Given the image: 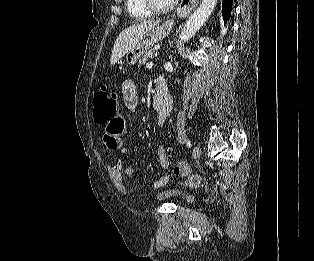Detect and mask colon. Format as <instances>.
Returning <instances> with one entry per match:
<instances>
[{
	"mask_svg": "<svg viewBox=\"0 0 314 261\" xmlns=\"http://www.w3.org/2000/svg\"><path fill=\"white\" fill-rule=\"evenodd\" d=\"M118 113V97L114 92L106 89L96 91L94 95V119L98 124L104 125L105 120H110V116H116ZM177 175L189 176L190 170L182 164L174 168Z\"/></svg>",
	"mask_w": 314,
	"mask_h": 261,
	"instance_id": "5ec220e1",
	"label": "colon"
}]
</instances>
